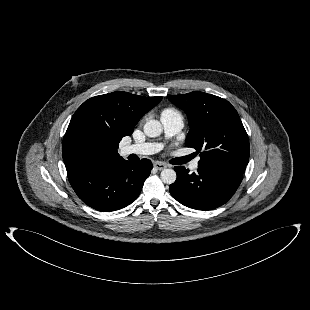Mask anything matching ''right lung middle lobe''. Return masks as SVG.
Masks as SVG:
<instances>
[{
    "instance_id": "1",
    "label": "right lung middle lobe",
    "mask_w": 310,
    "mask_h": 310,
    "mask_svg": "<svg viewBox=\"0 0 310 310\" xmlns=\"http://www.w3.org/2000/svg\"><path fill=\"white\" fill-rule=\"evenodd\" d=\"M94 138L89 134H83L76 140V146L81 149H90L93 146Z\"/></svg>"
}]
</instances>
